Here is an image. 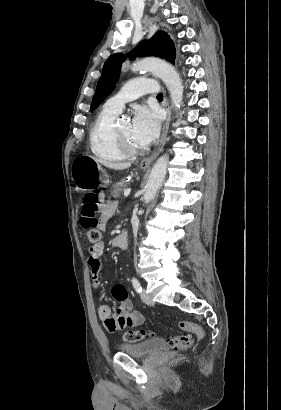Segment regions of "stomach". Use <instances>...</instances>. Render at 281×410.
Segmentation results:
<instances>
[{
    "mask_svg": "<svg viewBox=\"0 0 281 410\" xmlns=\"http://www.w3.org/2000/svg\"><path fill=\"white\" fill-rule=\"evenodd\" d=\"M71 176L77 189L82 191L107 187L110 183L108 175L101 164L88 155L79 156L73 160Z\"/></svg>",
    "mask_w": 281,
    "mask_h": 410,
    "instance_id": "0dacf381",
    "label": "stomach"
}]
</instances>
